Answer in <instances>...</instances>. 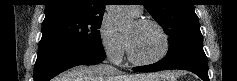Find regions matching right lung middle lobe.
<instances>
[{
	"instance_id": "1",
	"label": "right lung middle lobe",
	"mask_w": 237,
	"mask_h": 81,
	"mask_svg": "<svg viewBox=\"0 0 237 81\" xmlns=\"http://www.w3.org/2000/svg\"><path fill=\"white\" fill-rule=\"evenodd\" d=\"M102 16L62 15L44 19L40 42L78 46H102Z\"/></svg>"
}]
</instances>
